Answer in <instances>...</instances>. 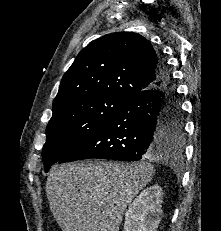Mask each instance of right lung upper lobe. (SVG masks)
Instances as JSON below:
<instances>
[{"mask_svg":"<svg viewBox=\"0 0 221 231\" xmlns=\"http://www.w3.org/2000/svg\"><path fill=\"white\" fill-rule=\"evenodd\" d=\"M161 57L150 42L132 32L105 35L88 44L64 74L53 113L90 96L124 99L154 86Z\"/></svg>","mask_w":221,"mask_h":231,"instance_id":"cb5924a9","label":"right lung upper lobe"}]
</instances>
